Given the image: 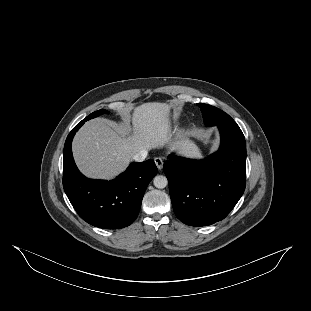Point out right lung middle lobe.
<instances>
[{
  "label": "right lung middle lobe",
  "mask_w": 311,
  "mask_h": 311,
  "mask_svg": "<svg viewBox=\"0 0 311 311\" xmlns=\"http://www.w3.org/2000/svg\"><path fill=\"white\" fill-rule=\"evenodd\" d=\"M104 113H108V111H106V110H104V109L95 111V112L91 113L89 116H87V117L84 119V121L90 120V119L95 118V117H97V116H99V115H102V114H104Z\"/></svg>",
  "instance_id": "right-lung-middle-lobe-1"
}]
</instances>
